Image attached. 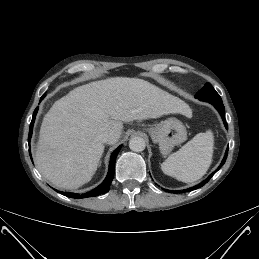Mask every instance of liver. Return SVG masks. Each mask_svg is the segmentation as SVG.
<instances>
[{
	"label": "liver",
	"mask_w": 259,
	"mask_h": 259,
	"mask_svg": "<svg viewBox=\"0 0 259 259\" xmlns=\"http://www.w3.org/2000/svg\"><path fill=\"white\" fill-rule=\"evenodd\" d=\"M176 113L189 116L191 109L142 79L113 77L79 86L44 116L35 154L37 168L53 186L76 189L97 170L104 152L99 134L108 132L112 145L122 134L123 122Z\"/></svg>",
	"instance_id": "liver-1"
}]
</instances>
